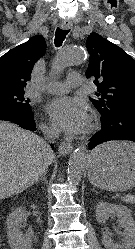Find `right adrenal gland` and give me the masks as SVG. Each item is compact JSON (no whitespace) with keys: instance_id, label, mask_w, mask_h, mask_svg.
Wrapping results in <instances>:
<instances>
[{"instance_id":"obj_1","label":"right adrenal gland","mask_w":135,"mask_h":249,"mask_svg":"<svg viewBox=\"0 0 135 249\" xmlns=\"http://www.w3.org/2000/svg\"><path fill=\"white\" fill-rule=\"evenodd\" d=\"M37 181H38V182H39V181H44L45 184H47L46 172H44V173L42 174L41 178H39Z\"/></svg>"}]
</instances>
